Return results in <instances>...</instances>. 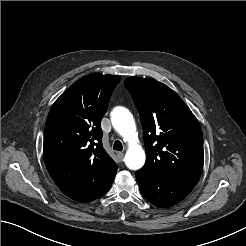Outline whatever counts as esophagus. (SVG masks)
I'll return each instance as SVG.
<instances>
[{
	"instance_id": "1",
	"label": "esophagus",
	"mask_w": 246,
	"mask_h": 246,
	"mask_svg": "<svg viewBox=\"0 0 246 246\" xmlns=\"http://www.w3.org/2000/svg\"><path fill=\"white\" fill-rule=\"evenodd\" d=\"M123 157H124V153L123 152H118L117 153V158H118L119 161H122Z\"/></svg>"
}]
</instances>
